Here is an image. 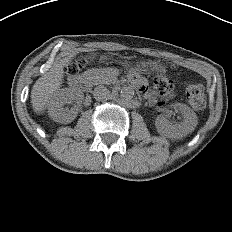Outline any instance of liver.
Returning a JSON list of instances; mask_svg holds the SVG:
<instances>
[{"mask_svg":"<svg viewBox=\"0 0 232 232\" xmlns=\"http://www.w3.org/2000/svg\"><path fill=\"white\" fill-rule=\"evenodd\" d=\"M69 61L64 58L54 63L50 70L41 76L33 85L31 90L32 108L37 113H42L52 97L62 84L64 66Z\"/></svg>","mask_w":232,"mask_h":232,"instance_id":"1","label":"liver"}]
</instances>
